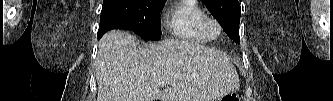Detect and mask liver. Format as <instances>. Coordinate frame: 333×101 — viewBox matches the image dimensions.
<instances>
[{"label": "liver", "mask_w": 333, "mask_h": 101, "mask_svg": "<svg viewBox=\"0 0 333 101\" xmlns=\"http://www.w3.org/2000/svg\"><path fill=\"white\" fill-rule=\"evenodd\" d=\"M98 47L97 101H214L240 86L228 56L196 42L140 47L133 35L113 30Z\"/></svg>", "instance_id": "obj_1"}]
</instances>
